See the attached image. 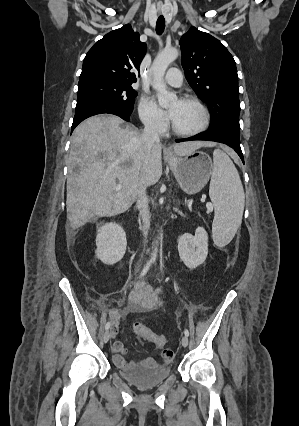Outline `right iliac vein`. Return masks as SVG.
<instances>
[{"mask_svg": "<svg viewBox=\"0 0 299 426\" xmlns=\"http://www.w3.org/2000/svg\"><path fill=\"white\" fill-rule=\"evenodd\" d=\"M111 336H112V332H110V331H106L105 333H104V335H103V341L106 343V342H108L109 341V339L111 338Z\"/></svg>", "mask_w": 299, "mask_h": 426, "instance_id": "right-iliac-vein-1", "label": "right iliac vein"}]
</instances>
